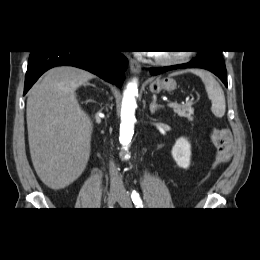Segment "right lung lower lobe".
I'll list each match as a JSON object with an SVG mask.
<instances>
[{"label": "right lung lower lobe", "mask_w": 260, "mask_h": 260, "mask_svg": "<svg viewBox=\"0 0 260 260\" xmlns=\"http://www.w3.org/2000/svg\"><path fill=\"white\" fill-rule=\"evenodd\" d=\"M127 64V59L120 51H31L24 95L45 71L62 65L85 69L120 87L125 78Z\"/></svg>", "instance_id": "98d812e1"}]
</instances>
